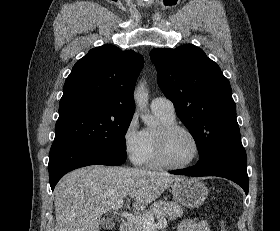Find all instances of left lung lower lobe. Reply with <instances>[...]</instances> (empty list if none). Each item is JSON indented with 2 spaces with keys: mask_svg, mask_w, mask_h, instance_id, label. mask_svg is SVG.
Returning a JSON list of instances; mask_svg holds the SVG:
<instances>
[{
  "mask_svg": "<svg viewBox=\"0 0 280 231\" xmlns=\"http://www.w3.org/2000/svg\"><path fill=\"white\" fill-rule=\"evenodd\" d=\"M173 174L218 176L227 178L240 185L248 194L247 157L241 140L220 145L190 168L171 171Z\"/></svg>",
  "mask_w": 280,
  "mask_h": 231,
  "instance_id": "obj_1",
  "label": "left lung lower lobe"
}]
</instances>
